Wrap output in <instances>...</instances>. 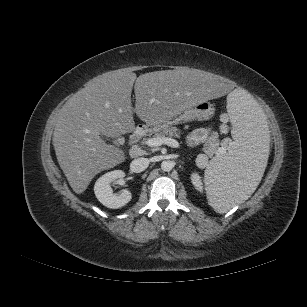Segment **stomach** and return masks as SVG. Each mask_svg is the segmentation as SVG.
Wrapping results in <instances>:
<instances>
[{
	"label": "stomach",
	"instance_id": "1",
	"mask_svg": "<svg viewBox=\"0 0 307 307\" xmlns=\"http://www.w3.org/2000/svg\"><path fill=\"white\" fill-rule=\"evenodd\" d=\"M213 112H214L213 105L210 102L202 100L185 108L179 114L167 118L164 121L152 120L147 122L145 125V129L149 132H157L163 129L164 127H168L171 125H176L192 120L208 119L209 117L212 116Z\"/></svg>",
	"mask_w": 307,
	"mask_h": 307
}]
</instances>
